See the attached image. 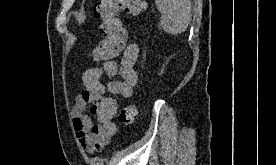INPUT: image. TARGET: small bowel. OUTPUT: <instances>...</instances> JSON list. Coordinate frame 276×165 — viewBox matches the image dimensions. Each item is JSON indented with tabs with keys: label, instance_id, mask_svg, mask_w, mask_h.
I'll return each mask as SVG.
<instances>
[{
	"label": "small bowel",
	"instance_id": "obj_1",
	"mask_svg": "<svg viewBox=\"0 0 276 165\" xmlns=\"http://www.w3.org/2000/svg\"><path fill=\"white\" fill-rule=\"evenodd\" d=\"M139 57V46L136 43L128 44L121 56L120 63L109 60L101 66L87 69L82 76V91L76 97L72 109L73 126L76 137L82 148L93 153L102 149L116 133L113 122L117 105L115 100L107 96H121L130 98L138 81L136 63ZM120 76V80H111L107 84L101 82V77ZM89 113L96 118L93 123Z\"/></svg>",
	"mask_w": 276,
	"mask_h": 165
}]
</instances>
